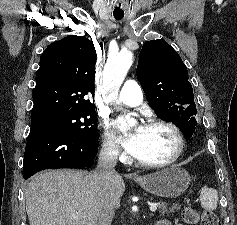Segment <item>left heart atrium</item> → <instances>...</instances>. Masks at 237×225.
Returning a JSON list of instances; mask_svg holds the SVG:
<instances>
[{"instance_id":"39dd6f15","label":"left heart atrium","mask_w":237,"mask_h":225,"mask_svg":"<svg viewBox=\"0 0 237 225\" xmlns=\"http://www.w3.org/2000/svg\"><path fill=\"white\" fill-rule=\"evenodd\" d=\"M114 124L116 127H118L120 125V120H116ZM142 131H143V126H139L135 130H133L131 133L121 138V142L124 148L126 149V151L132 154L133 156H137L140 150Z\"/></svg>"}]
</instances>
